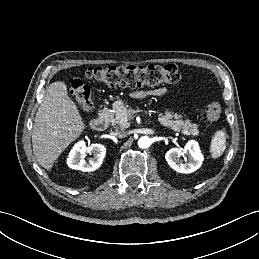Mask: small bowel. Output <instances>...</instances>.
Listing matches in <instances>:
<instances>
[{"instance_id":"1","label":"small bowel","mask_w":259,"mask_h":259,"mask_svg":"<svg viewBox=\"0 0 259 259\" xmlns=\"http://www.w3.org/2000/svg\"><path fill=\"white\" fill-rule=\"evenodd\" d=\"M165 92H166L165 88H159V89H156V90H153V91H150V92H144V91L137 92V93L134 94V96L137 97V98H144L148 95L160 96V95H163Z\"/></svg>"}]
</instances>
